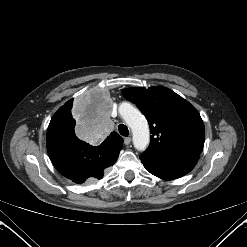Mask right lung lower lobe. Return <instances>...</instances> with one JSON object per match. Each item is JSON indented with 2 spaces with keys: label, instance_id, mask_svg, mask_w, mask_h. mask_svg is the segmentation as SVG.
Returning <instances> with one entry per match:
<instances>
[{
  "label": "right lung lower lobe",
  "instance_id": "obj_1",
  "mask_svg": "<svg viewBox=\"0 0 247 247\" xmlns=\"http://www.w3.org/2000/svg\"><path fill=\"white\" fill-rule=\"evenodd\" d=\"M47 150L57 171L76 184L101 179L104 171L112 166L121 149L104 145L91 146L81 141L74 130L49 125Z\"/></svg>",
  "mask_w": 247,
  "mask_h": 247
}]
</instances>
